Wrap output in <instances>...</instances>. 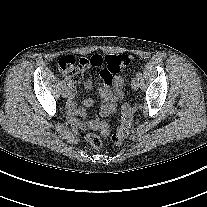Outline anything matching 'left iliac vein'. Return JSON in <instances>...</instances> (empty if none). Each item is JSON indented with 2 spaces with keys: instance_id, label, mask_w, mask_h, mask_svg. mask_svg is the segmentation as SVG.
Here are the masks:
<instances>
[{
  "instance_id": "left-iliac-vein-1",
  "label": "left iliac vein",
  "mask_w": 207,
  "mask_h": 207,
  "mask_svg": "<svg viewBox=\"0 0 207 207\" xmlns=\"http://www.w3.org/2000/svg\"><path fill=\"white\" fill-rule=\"evenodd\" d=\"M131 87L133 90H137L139 88V79L138 78H134L131 82Z\"/></svg>"
}]
</instances>
